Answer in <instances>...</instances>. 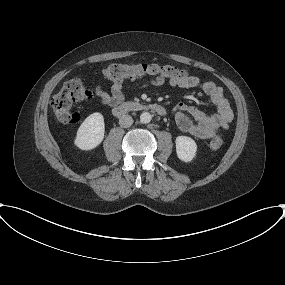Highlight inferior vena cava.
Segmentation results:
<instances>
[{
    "label": "inferior vena cava",
    "instance_id": "inferior-vena-cava-1",
    "mask_svg": "<svg viewBox=\"0 0 285 285\" xmlns=\"http://www.w3.org/2000/svg\"><path fill=\"white\" fill-rule=\"evenodd\" d=\"M132 124H133V118L128 114L122 115L119 119V125L123 128H128Z\"/></svg>",
    "mask_w": 285,
    "mask_h": 285
}]
</instances>
